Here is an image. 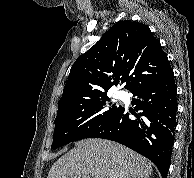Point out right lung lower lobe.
I'll list each match as a JSON object with an SVG mask.
<instances>
[{"mask_svg": "<svg viewBox=\"0 0 194 178\" xmlns=\"http://www.w3.org/2000/svg\"><path fill=\"white\" fill-rule=\"evenodd\" d=\"M136 119L124 108L88 137L121 143L150 159L167 178L176 128L177 87L173 70L165 78L132 91Z\"/></svg>", "mask_w": 194, "mask_h": 178, "instance_id": "right-lung-lower-lobe-1", "label": "right lung lower lobe"}]
</instances>
